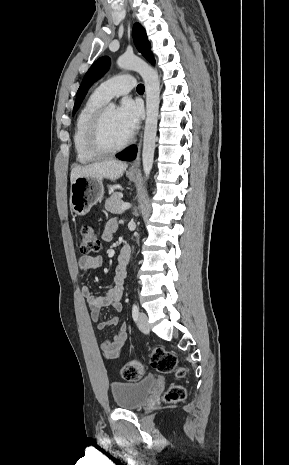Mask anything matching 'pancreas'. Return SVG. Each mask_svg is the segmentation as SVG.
<instances>
[{
  "label": "pancreas",
  "mask_w": 289,
  "mask_h": 465,
  "mask_svg": "<svg viewBox=\"0 0 289 465\" xmlns=\"http://www.w3.org/2000/svg\"><path fill=\"white\" fill-rule=\"evenodd\" d=\"M122 193H113L105 202V209L113 214H121L124 210L121 205L124 203L122 200Z\"/></svg>",
  "instance_id": "pancreas-1"
}]
</instances>
